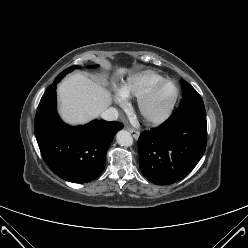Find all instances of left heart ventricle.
I'll return each mask as SVG.
<instances>
[{"instance_id": "obj_1", "label": "left heart ventricle", "mask_w": 248, "mask_h": 248, "mask_svg": "<svg viewBox=\"0 0 248 248\" xmlns=\"http://www.w3.org/2000/svg\"><path fill=\"white\" fill-rule=\"evenodd\" d=\"M174 93L175 90L172 85L161 87L150 100L146 110L147 114L157 115L165 110L173 99Z\"/></svg>"}]
</instances>
